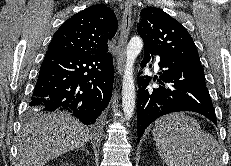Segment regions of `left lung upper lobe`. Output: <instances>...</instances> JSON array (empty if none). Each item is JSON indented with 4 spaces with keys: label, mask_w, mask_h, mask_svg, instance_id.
Masks as SVG:
<instances>
[{
    "label": "left lung upper lobe",
    "mask_w": 231,
    "mask_h": 166,
    "mask_svg": "<svg viewBox=\"0 0 231 166\" xmlns=\"http://www.w3.org/2000/svg\"><path fill=\"white\" fill-rule=\"evenodd\" d=\"M137 32L145 48L160 57L178 63L201 65L197 48L188 31L163 10L144 8Z\"/></svg>",
    "instance_id": "obj_1"
}]
</instances>
